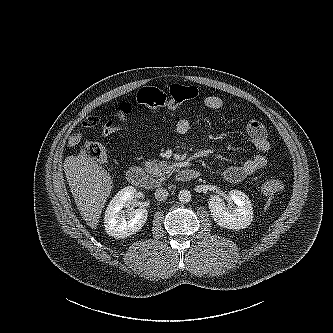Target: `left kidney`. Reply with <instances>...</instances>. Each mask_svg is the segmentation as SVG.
Here are the masks:
<instances>
[{
    "label": "left kidney",
    "instance_id": "1",
    "mask_svg": "<svg viewBox=\"0 0 333 333\" xmlns=\"http://www.w3.org/2000/svg\"><path fill=\"white\" fill-rule=\"evenodd\" d=\"M229 199L235 205L230 209L225 206L219 195L211 196L208 205L214 221L219 226L232 230L248 227L253 220V208L249 197L239 190H231Z\"/></svg>",
    "mask_w": 333,
    "mask_h": 333
}]
</instances>
